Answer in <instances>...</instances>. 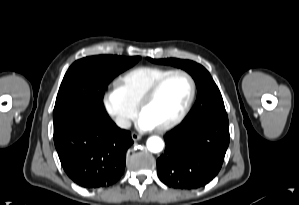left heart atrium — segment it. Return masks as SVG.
<instances>
[{
	"label": "left heart atrium",
	"mask_w": 299,
	"mask_h": 205,
	"mask_svg": "<svg viewBox=\"0 0 299 205\" xmlns=\"http://www.w3.org/2000/svg\"><path fill=\"white\" fill-rule=\"evenodd\" d=\"M136 125L140 130L143 131H147L155 128L154 123L143 114L139 116Z\"/></svg>",
	"instance_id": "obj_1"
}]
</instances>
